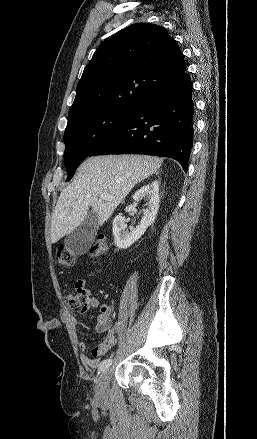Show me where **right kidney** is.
Wrapping results in <instances>:
<instances>
[{
	"label": "right kidney",
	"mask_w": 257,
	"mask_h": 439,
	"mask_svg": "<svg viewBox=\"0 0 257 439\" xmlns=\"http://www.w3.org/2000/svg\"><path fill=\"white\" fill-rule=\"evenodd\" d=\"M133 199L136 202L146 200L147 208L143 210L144 216L140 224L135 229L130 228V231L126 230L125 217L119 215L114 218L112 223L113 236L116 246L120 249L129 248L154 223L160 201L158 181H153L141 187L135 192Z\"/></svg>",
	"instance_id": "obj_1"
}]
</instances>
